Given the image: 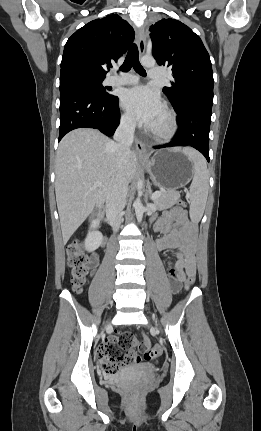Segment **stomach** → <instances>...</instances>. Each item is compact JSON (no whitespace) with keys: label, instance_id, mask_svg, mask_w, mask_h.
I'll list each match as a JSON object with an SVG mask.
<instances>
[{"label":"stomach","instance_id":"0dacf381","mask_svg":"<svg viewBox=\"0 0 261 431\" xmlns=\"http://www.w3.org/2000/svg\"><path fill=\"white\" fill-rule=\"evenodd\" d=\"M143 163L152 182L167 190L187 185L194 175L193 162L178 149L158 151Z\"/></svg>","mask_w":261,"mask_h":431}]
</instances>
